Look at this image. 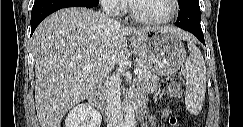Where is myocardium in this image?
Returning <instances> with one entry per match:
<instances>
[{"label":"myocardium","mask_w":243,"mask_h":127,"mask_svg":"<svg viewBox=\"0 0 243 127\" xmlns=\"http://www.w3.org/2000/svg\"><path fill=\"white\" fill-rule=\"evenodd\" d=\"M135 1L136 0L129 1L128 11H129L132 19L139 23L149 24V25H162V24H166V23H169L170 21H172L178 14V1L177 0H168L170 3L171 10L167 16L162 17V18H145V17H142L139 14H137V12L135 10V5H134Z\"/></svg>","instance_id":"1"}]
</instances>
